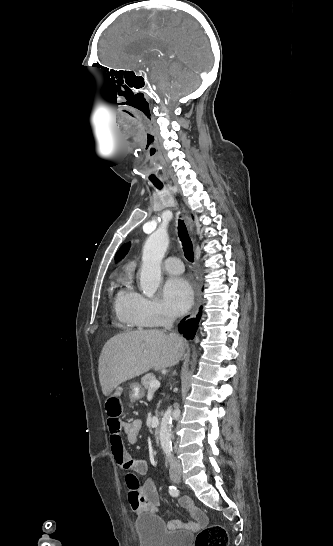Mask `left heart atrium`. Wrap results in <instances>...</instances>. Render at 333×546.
Wrapping results in <instances>:
<instances>
[{
    "instance_id": "39dd6f15",
    "label": "left heart atrium",
    "mask_w": 333,
    "mask_h": 546,
    "mask_svg": "<svg viewBox=\"0 0 333 546\" xmlns=\"http://www.w3.org/2000/svg\"><path fill=\"white\" fill-rule=\"evenodd\" d=\"M162 297L167 311L172 315H180L190 307L193 293L187 280L171 277L163 286Z\"/></svg>"
}]
</instances>
